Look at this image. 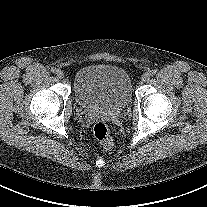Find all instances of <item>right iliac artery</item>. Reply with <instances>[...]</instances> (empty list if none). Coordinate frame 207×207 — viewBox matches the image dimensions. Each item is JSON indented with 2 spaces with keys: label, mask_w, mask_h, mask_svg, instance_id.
<instances>
[{
  "label": "right iliac artery",
  "mask_w": 207,
  "mask_h": 207,
  "mask_svg": "<svg viewBox=\"0 0 207 207\" xmlns=\"http://www.w3.org/2000/svg\"><path fill=\"white\" fill-rule=\"evenodd\" d=\"M56 71H57L56 68H54V67L51 68V72L55 73Z\"/></svg>",
  "instance_id": "right-iliac-artery-1"
}]
</instances>
